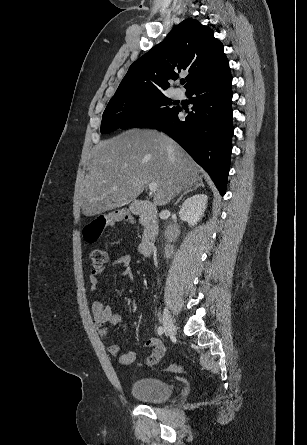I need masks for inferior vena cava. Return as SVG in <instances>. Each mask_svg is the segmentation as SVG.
<instances>
[{
  "label": "inferior vena cava",
  "mask_w": 307,
  "mask_h": 445,
  "mask_svg": "<svg viewBox=\"0 0 307 445\" xmlns=\"http://www.w3.org/2000/svg\"><path fill=\"white\" fill-rule=\"evenodd\" d=\"M168 148H171V150H172V148H173L172 144H168Z\"/></svg>",
  "instance_id": "inferior-vena-cava-1"
}]
</instances>
